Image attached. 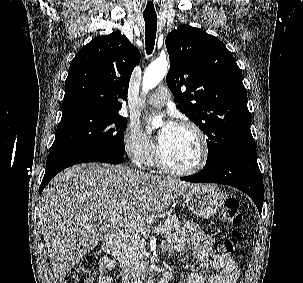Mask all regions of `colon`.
Returning a JSON list of instances; mask_svg holds the SVG:
<instances>
[{"instance_id":"1","label":"colon","mask_w":303,"mask_h":283,"mask_svg":"<svg viewBox=\"0 0 303 283\" xmlns=\"http://www.w3.org/2000/svg\"><path fill=\"white\" fill-rule=\"evenodd\" d=\"M221 222L225 226L237 227L242 222L239 202L227 199L220 214ZM242 240V232L234 228L231 235L222 243L226 250H233ZM98 269V258L95 255L85 257L80 264L63 280V283H93Z\"/></svg>"}]
</instances>
